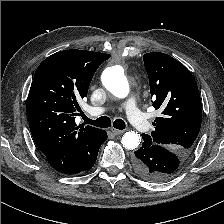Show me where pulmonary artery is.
I'll return each mask as SVG.
<instances>
[{
  "mask_svg": "<svg viewBox=\"0 0 224 224\" xmlns=\"http://www.w3.org/2000/svg\"><path fill=\"white\" fill-rule=\"evenodd\" d=\"M125 107L127 110V115L136 129L140 132L148 131L150 124L143 113L137 108L136 100L134 98H130L126 102ZM105 111L106 108H92L90 109V114L97 116L103 114Z\"/></svg>",
  "mask_w": 224,
  "mask_h": 224,
  "instance_id": "1",
  "label": "pulmonary artery"
}]
</instances>
